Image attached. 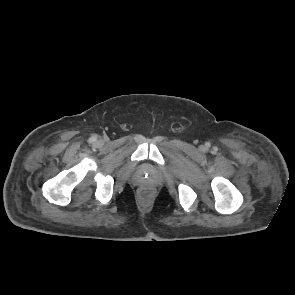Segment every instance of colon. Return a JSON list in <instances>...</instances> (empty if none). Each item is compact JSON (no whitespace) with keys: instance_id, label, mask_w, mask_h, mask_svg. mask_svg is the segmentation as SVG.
<instances>
[{"instance_id":"colon-1","label":"colon","mask_w":295,"mask_h":295,"mask_svg":"<svg viewBox=\"0 0 295 295\" xmlns=\"http://www.w3.org/2000/svg\"><path fill=\"white\" fill-rule=\"evenodd\" d=\"M152 192H153L152 188L148 186H144L140 189L139 194L142 199L147 200L151 197Z\"/></svg>"}]
</instances>
